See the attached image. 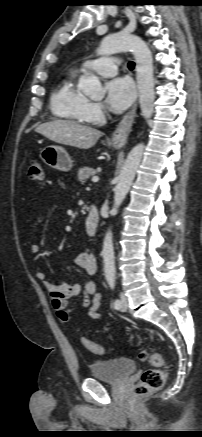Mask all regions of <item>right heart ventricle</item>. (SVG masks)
<instances>
[{"label":"right heart ventricle","instance_id":"e07e8e85","mask_svg":"<svg viewBox=\"0 0 202 437\" xmlns=\"http://www.w3.org/2000/svg\"><path fill=\"white\" fill-rule=\"evenodd\" d=\"M78 72L67 75L59 83L50 98V108L57 118L86 124L90 122L87 114L88 98L76 87Z\"/></svg>","mask_w":202,"mask_h":437}]
</instances>
